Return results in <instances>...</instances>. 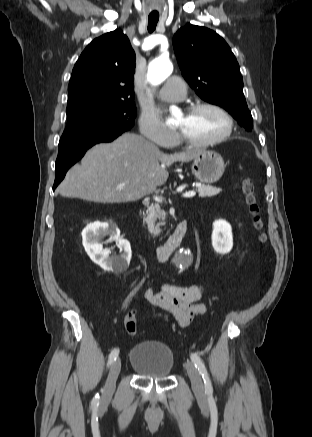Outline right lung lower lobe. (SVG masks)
<instances>
[{
  "label": "right lung lower lobe",
  "mask_w": 312,
  "mask_h": 437,
  "mask_svg": "<svg viewBox=\"0 0 312 437\" xmlns=\"http://www.w3.org/2000/svg\"><path fill=\"white\" fill-rule=\"evenodd\" d=\"M122 133L104 136L100 138H94L80 144L74 145L69 149L60 150L58 152V157L56 160V169H55V182L53 186V190L57 187V185L63 180L67 170L74 165L78 160H80L85 154L86 150L93 145L101 142H111L116 137L121 135Z\"/></svg>",
  "instance_id": "obj_1"
}]
</instances>
